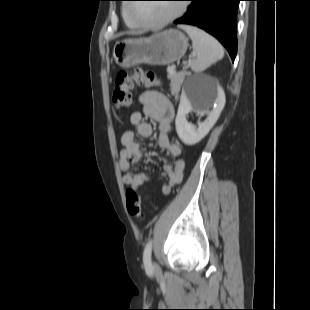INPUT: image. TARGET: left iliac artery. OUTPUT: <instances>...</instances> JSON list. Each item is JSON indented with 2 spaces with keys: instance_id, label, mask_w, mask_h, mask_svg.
<instances>
[{
  "instance_id": "1",
  "label": "left iliac artery",
  "mask_w": 310,
  "mask_h": 310,
  "mask_svg": "<svg viewBox=\"0 0 310 310\" xmlns=\"http://www.w3.org/2000/svg\"><path fill=\"white\" fill-rule=\"evenodd\" d=\"M151 253H152V240H149L145 246L143 253V263L146 271L152 270Z\"/></svg>"
}]
</instances>
